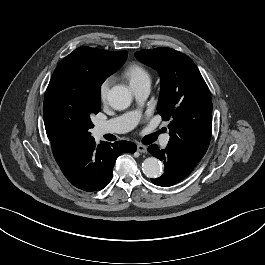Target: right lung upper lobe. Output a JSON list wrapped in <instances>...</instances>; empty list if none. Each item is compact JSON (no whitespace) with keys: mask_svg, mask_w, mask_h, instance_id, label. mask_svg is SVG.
<instances>
[{"mask_svg":"<svg viewBox=\"0 0 265 265\" xmlns=\"http://www.w3.org/2000/svg\"><path fill=\"white\" fill-rule=\"evenodd\" d=\"M100 52L114 56V57H119V58H127V51H104L98 49ZM89 139V138H87ZM87 139L81 140L79 142H76L74 144L70 145H60L54 142H51L52 145V151L54 154V157L57 162L64 160L66 157H68L72 152H74L82 143H84Z\"/></svg>","mask_w":265,"mask_h":265,"instance_id":"right-lung-upper-lobe-1","label":"right lung upper lobe"}]
</instances>
